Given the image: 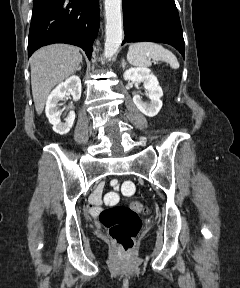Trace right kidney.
<instances>
[{"instance_id": "1", "label": "right kidney", "mask_w": 240, "mask_h": 288, "mask_svg": "<svg viewBox=\"0 0 240 288\" xmlns=\"http://www.w3.org/2000/svg\"><path fill=\"white\" fill-rule=\"evenodd\" d=\"M66 95H72L75 101L81 97V80L78 76H71L65 82L60 83L48 96L46 102V116L53 125V130L60 134H67L72 128L75 120V112L70 111L62 122L60 115L62 110L58 107V102L63 100Z\"/></svg>"}]
</instances>
